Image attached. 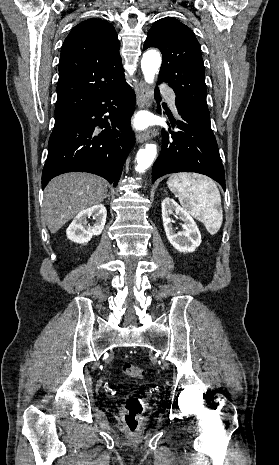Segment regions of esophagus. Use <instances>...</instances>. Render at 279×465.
Instances as JSON below:
<instances>
[{
  "mask_svg": "<svg viewBox=\"0 0 279 465\" xmlns=\"http://www.w3.org/2000/svg\"><path fill=\"white\" fill-rule=\"evenodd\" d=\"M151 90L150 88L144 83H140L139 87V107L140 108H145V107H150L151 106ZM156 135L155 129H149L145 132H138L136 134V140L137 142L141 143L144 141H147L148 139L152 138L153 136Z\"/></svg>",
  "mask_w": 279,
  "mask_h": 465,
  "instance_id": "1",
  "label": "esophagus"
}]
</instances>
